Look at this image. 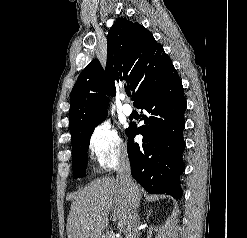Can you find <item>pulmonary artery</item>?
Wrapping results in <instances>:
<instances>
[{
	"instance_id": "1",
	"label": "pulmonary artery",
	"mask_w": 247,
	"mask_h": 238,
	"mask_svg": "<svg viewBox=\"0 0 247 238\" xmlns=\"http://www.w3.org/2000/svg\"><path fill=\"white\" fill-rule=\"evenodd\" d=\"M122 99H124V96H122ZM122 112L126 115L129 116L132 113V107L129 104H123L122 106Z\"/></svg>"
}]
</instances>
